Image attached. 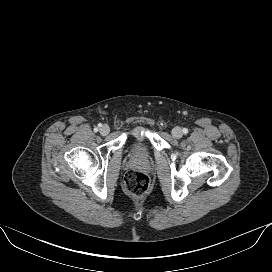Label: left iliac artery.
<instances>
[{
	"label": "left iliac artery",
	"mask_w": 272,
	"mask_h": 272,
	"mask_svg": "<svg viewBox=\"0 0 272 272\" xmlns=\"http://www.w3.org/2000/svg\"><path fill=\"white\" fill-rule=\"evenodd\" d=\"M182 131H183L184 134L188 133V129L187 128H183Z\"/></svg>",
	"instance_id": "44dca946"
}]
</instances>
